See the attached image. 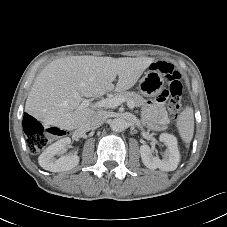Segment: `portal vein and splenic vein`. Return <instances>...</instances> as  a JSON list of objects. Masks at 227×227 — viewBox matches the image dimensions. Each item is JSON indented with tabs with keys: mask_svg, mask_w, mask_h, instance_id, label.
<instances>
[{
	"mask_svg": "<svg viewBox=\"0 0 227 227\" xmlns=\"http://www.w3.org/2000/svg\"><path fill=\"white\" fill-rule=\"evenodd\" d=\"M73 96L81 103L79 109H83L89 106L92 108H115L125 102L124 98L118 96L112 98H105L95 103H91L90 100L82 98L78 92H74ZM127 106L131 110L135 107L133 101H128Z\"/></svg>",
	"mask_w": 227,
	"mask_h": 227,
	"instance_id": "18ae733b",
	"label": "portal vein and splenic vein"
}]
</instances>
